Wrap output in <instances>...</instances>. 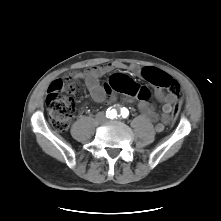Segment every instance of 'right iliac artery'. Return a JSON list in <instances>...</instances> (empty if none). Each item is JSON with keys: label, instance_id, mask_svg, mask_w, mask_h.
I'll return each mask as SVG.
<instances>
[{"label": "right iliac artery", "instance_id": "82829eb1", "mask_svg": "<svg viewBox=\"0 0 221 221\" xmlns=\"http://www.w3.org/2000/svg\"><path fill=\"white\" fill-rule=\"evenodd\" d=\"M106 116H107L108 118L113 119V118H115V117L117 116V112H116L115 109L110 110V108H109V109L107 110V112H106Z\"/></svg>", "mask_w": 221, "mask_h": 221}]
</instances>
